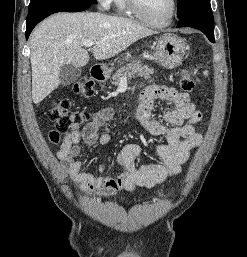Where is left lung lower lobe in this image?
Wrapping results in <instances>:
<instances>
[{
  "mask_svg": "<svg viewBox=\"0 0 247 257\" xmlns=\"http://www.w3.org/2000/svg\"><path fill=\"white\" fill-rule=\"evenodd\" d=\"M214 18L213 15H206L200 12H194L180 17L177 27H193L202 31L211 42L214 39Z\"/></svg>",
  "mask_w": 247,
  "mask_h": 257,
  "instance_id": "0a47b994",
  "label": "left lung lower lobe"
}]
</instances>
